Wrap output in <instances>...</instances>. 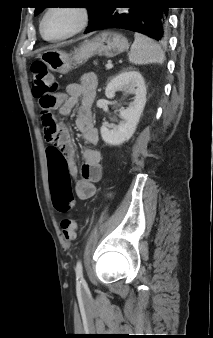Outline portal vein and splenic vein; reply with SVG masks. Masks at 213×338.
Listing matches in <instances>:
<instances>
[{
  "instance_id": "1",
  "label": "portal vein and splenic vein",
  "mask_w": 213,
  "mask_h": 338,
  "mask_svg": "<svg viewBox=\"0 0 213 338\" xmlns=\"http://www.w3.org/2000/svg\"><path fill=\"white\" fill-rule=\"evenodd\" d=\"M105 67H106L107 69H111V68L113 67V64L110 63V62H108V63L105 65Z\"/></svg>"
}]
</instances>
